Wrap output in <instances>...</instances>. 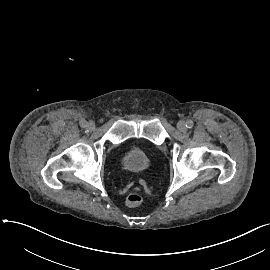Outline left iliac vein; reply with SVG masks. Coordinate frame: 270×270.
I'll return each mask as SVG.
<instances>
[{
	"instance_id": "left-iliac-vein-1",
	"label": "left iliac vein",
	"mask_w": 270,
	"mask_h": 270,
	"mask_svg": "<svg viewBox=\"0 0 270 270\" xmlns=\"http://www.w3.org/2000/svg\"><path fill=\"white\" fill-rule=\"evenodd\" d=\"M177 128L181 132H185L187 130L186 123L184 121H179L178 124H177Z\"/></svg>"
}]
</instances>
